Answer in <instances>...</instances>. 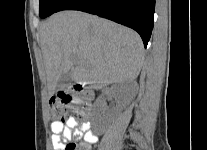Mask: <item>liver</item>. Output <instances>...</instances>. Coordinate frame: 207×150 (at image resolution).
I'll use <instances>...</instances> for the list:
<instances>
[{"label":"liver","instance_id":"6515ba94","mask_svg":"<svg viewBox=\"0 0 207 150\" xmlns=\"http://www.w3.org/2000/svg\"><path fill=\"white\" fill-rule=\"evenodd\" d=\"M40 43L49 96L67 72L75 83L100 89L136 79L144 60L143 43L135 31L80 11L50 16L40 27Z\"/></svg>","mask_w":207,"mask_h":150}]
</instances>
